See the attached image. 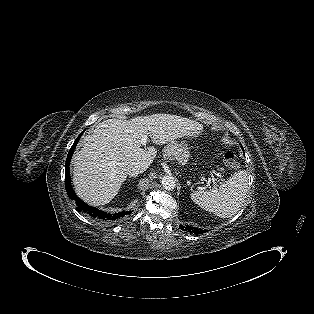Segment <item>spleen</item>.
<instances>
[{
  "instance_id": "spleen-1",
  "label": "spleen",
  "mask_w": 314,
  "mask_h": 314,
  "mask_svg": "<svg viewBox=\"0 0 314 314\" xmlns=\"http://www.w3.org/2000/svg\"><path fill=\"white\" fill-rule=\"evenodd\" d=\"M247 172L240 170L231 178L212 190L195 191L191 199L204 210L219 216L229 218L242 207L248 192Z\"/></svg>"
}]
</instances>
